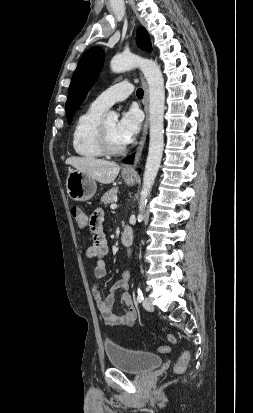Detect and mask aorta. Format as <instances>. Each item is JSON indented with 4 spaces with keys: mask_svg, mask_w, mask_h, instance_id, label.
Instances as JSON below:
<instances>
[{
    "mask_svg": "<svg viewBox=\"0 0 253 413\" xmlns=\"http://www.w3.org/2000/svg\"><path fill=\"white\" fill-rule=\"evenodd\" d=\"M114 73L140 68L149 86L150 141L149 151L143 175V185L139 205L138 220L143 217V208L147 203L152 186L157 176L164 148V79L160 67L152 60L134 54L114 56L110 62ZM107 120L117 121L118 114L110 111Z\"/></svg>",
    "mask_w": 253,
    "mask_h": 413,
    "instance_id": "1",
    "label": "aorta"
}]
</instances>
